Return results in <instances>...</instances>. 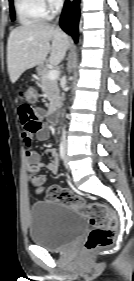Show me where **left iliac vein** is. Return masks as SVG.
<instances>
[{"label":"left iliac vein","instance_id":"obj_1","mask_svg":"<svg viewBox=\"0 0 134 281\" xmlns=\"http://www.w3.org/2000/svg\"><path fill=\"white\" fill-rule=\"evenodd\" d=\"M66 146H65V152H66ZM64 165H65V167L66 168H68V159H67V156H65V158H64Z\"/></svg>","mask_w":134,"mask_h":281}]
</instances>
